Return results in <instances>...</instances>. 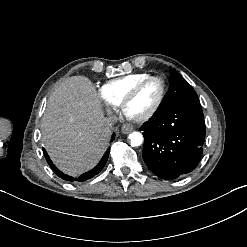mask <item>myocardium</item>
<instances>
[{"label":"myocardium","mask_w":247,"mask_h":247,"mask_svg":"<svg viewBox=\"0 0 247 247\" xmlns=\"http://www.w3.org/2000/svg\"><path fill=\"white\" fill-rule=\"evenodd\" d=\"M151 80L158 81L160 83L161 95H160V98H159L157 104L155 105V107L150 112H148L147 114H145L139 118H136V120L138 122H147V121L153 119L161 110V108L165 102L166 96H167V85H166L165 80L160 76H154V75L147 76V77L143 78L142 80H140L139 82H137L120 102L121 108L123 110H126L127 105L135 99L140 88L146 82L151 81Z\"/></svg>","instance_id":"myocardium-1"}]
</instances>
